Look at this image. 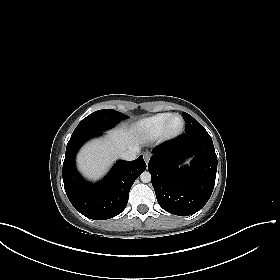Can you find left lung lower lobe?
<instances>
[{"label":"left lung lower lobe","instance_id":"left-lung-lower-lobe-1","mask_svg":"<svg viewBox=\"0 0 280 280\" xmlns=\"http://www.w3.org/2000/svg\"><path fill=\"white\" fill-rule=\"evenodd\" d=\"M148 163L159 205L167 212L188 216L209 200L217 171V156L210 135L184 134L155 149ZM193 157L190 166H181Z\"/></svg>","mask_w":280,"mask_h":280}]
</instances>
